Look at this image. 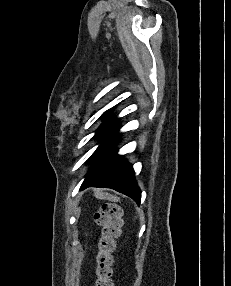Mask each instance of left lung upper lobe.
<instances>
[{
    "label": "left lung upper lobe",
    "mask_w": 231,
    "mask_h": 286,
    "mask_svg": "<svg viewBox=\"0 0 231 286\" xmlns=\"http://www.w3.org/2000/svg\"><path fill=\"white\" fill-rule=\"evenodd\" d=\"M110 110L106 111L104 114H108Z\"/></svg>",
    "instance_id": "left-lung-upper-lobe-1"
}]
</instances>
